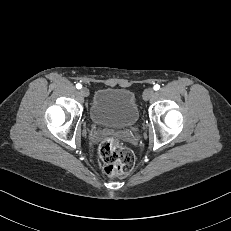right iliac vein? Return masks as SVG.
<instances>
[{
    "mask_svg": "<svg viewBox=\"0 0 231 231\" xmlns=\"http://www.w3.org/2000/svg\"><path fill=\"white\" fill-rule=\"evenodd\" d=\"M80 93H81V95L84 96V97L89 96V90H88L87 88H85V87H83V88L80 90Z\"/></svg>",
    "mask_w": 231,
    "mask_h": 231,
    "instance_id": "right-iliac-vein-1",
    "label": "right iliac vein"
}]
</instances>
